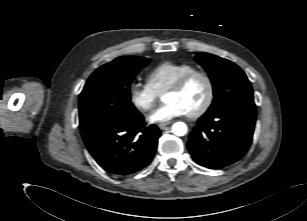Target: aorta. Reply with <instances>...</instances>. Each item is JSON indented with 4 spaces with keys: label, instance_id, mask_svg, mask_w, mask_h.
<instances>
[{
    "label": "aorta",
    "instance_id": "762f6f07",
    "mask_svg": "<svg viewBox=\"0 0 307 221\" xmlns=\"http://www.w3.org/2000/svg\"><path fill=\"white\" fill-rule=\"evenodd\" d=\"M187 130V125L183 122H176L172 125V132L176 136H184Z\"/></svg>",
    "mask_w": 307,
    "mask_h": 221
}]
</instances>
